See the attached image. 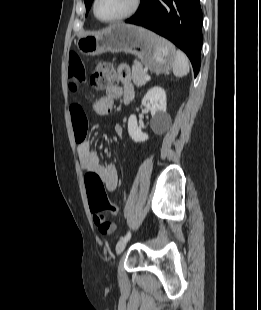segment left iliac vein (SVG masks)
I'll list each match as a JSON object with an SVG mask.
<instances>
[{
  "label": "left iliac vein",
  "instance_id": "obj_1",
  "mask_svg": "<svg viewBox=\"0 0 261 310\" xmlns=\"http://www.w3.org/2000/svg\"><path fill=\"white\" fill-rule=\"evenodd\" d=\"M127 241H125L123 238H121L119 240V242L116 245V253L117 255L121 254L123 252V250L125 249L126 245H127Z\"/></svg>",
  "mask_w": 261,
  "mask_h": 310
}]
</instances>
